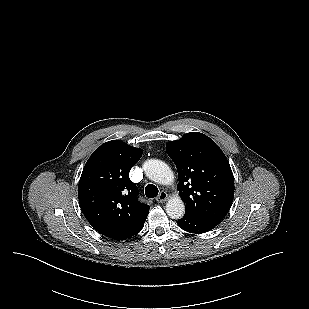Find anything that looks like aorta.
Returning a JSON list of instances; mask_svg holds the SVG:
<instances>
[{"instance_id": "obj_1", "label": "aorta", "mask_w": 309, "mask_h": 309, "mask_svg": "<svg viewBox=\"0 0 309 309\" xmlns=\"http://www.w3.org/2000/svg\"><path fill=\"white\" fill-rule=\"evenodd\" d=\"M143 170L150 180L158 184L169 185L174 181L172 170L161 160H147L143 164ZM166 213L172 219H180L184 216L185 205L179 196H174L168 200L166 203Z\"/></svg>"}]
</instances>
